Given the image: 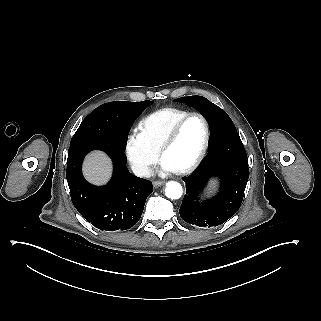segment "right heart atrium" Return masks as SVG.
<instances>
[{"instance_id": "obj_1", "label": "right heart atrium", "mask_w": 321, "mask_h": 321, "mask_svg": "<svg viewBox=\"0 0 321 321\" xmlns=\"http://www.w3.org/2000/svg\"><path fill=\"white\" fill-rule=\"evenodd\" d=\"M125 154L133 172L147 178L158 159V150L154 148L138 130H132L127 136Z\"/></svg>"}]
</instances>
